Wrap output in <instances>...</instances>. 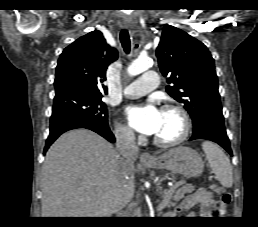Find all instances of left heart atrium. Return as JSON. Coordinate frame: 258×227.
Returning a JSON list of instances; mask_svg holds the SVG:
<instances>
[{"mask_svg":"<svg viewBox=\"0 0 258 227\" xmlns=\"http://www.w3.org/2000/svg\"><path fill=\"white\" fill-rule=\"evenodd\" d=\"M126 115L130 125L137 131L152 135L155 134L160 123L161 111L153 104L129 107Z\"/></svg>","mask_w":258,"mask_h":227,"instance_id":"left-heart-atrium-1","label":"left heart atrium"}]
</instances>
